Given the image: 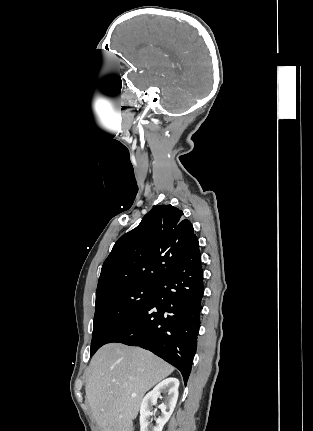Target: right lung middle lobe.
<instances>
[{
    "label": "right lung middle lobe",
    "mask_w": 313,
    "mask_h": 431,
    "mask_svg": "<svg viewBox=\"0 0 313 431\" xmlns=\"http://www.w3.org/2000/svg\"><path fill=\"white\" fill-rule=\"evenodd\" d=\"M157 286L129 287L108 293L96 300L90 356L134 316Z\"/></svg>",
    "instance_id": "1"
}]
</instances>
